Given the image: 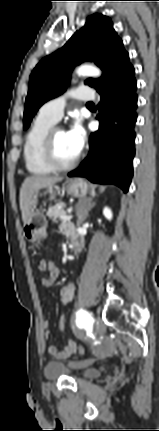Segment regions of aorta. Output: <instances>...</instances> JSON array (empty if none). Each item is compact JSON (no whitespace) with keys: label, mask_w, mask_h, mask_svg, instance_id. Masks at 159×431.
<instances>
[{"label":"aorta","mask_w":159,"mask_h":431,"mask_svg":"<svg viewBox=\"0 0 159 431\" xmlns=\"http://www.w3.org/2000/svg\"><path fill=\"white\" fill-rule=\"evenodd\" d=\"M77 73L83 76L98 77L100 75V70L93 66L83 65L79 67Z\"/></svg>","instance_id":"762f6f07"}]
</instances>
